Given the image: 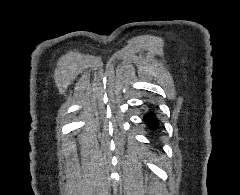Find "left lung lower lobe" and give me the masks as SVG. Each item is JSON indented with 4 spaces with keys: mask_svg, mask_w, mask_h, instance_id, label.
Here are the masks:
<instances>
[{
    "mask_svg": "<svg viewBox=\"0 0 240 195\" xmlns=\"http://www.w3.org/2000/svg\"><path fill=\"white\" fill-rule=\"evenodd\" d=\"M150 107L151 109L147 111V113L144 115L143 121L150 130L155 131L159 128V120L157 119L156 114L152 110V106Z\"/></svg>",
    "mask_w": 240,
    "mask_h": 195,
    "instance_id": "obj_1",
    "label": "left lung lower lobe"
}]
</instances>
